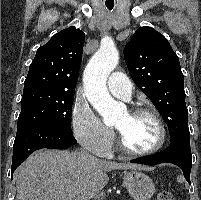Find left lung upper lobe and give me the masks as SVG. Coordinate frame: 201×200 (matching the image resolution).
<instances>
[{
    "label": "left lung upper lobe",
    "instance_id": "5c2ea615",
    "mask_svg": "<svg viewBox=\"0 0 201 200\" xmlns=\"http://www.w3.org/2000/svg\"><path fill=\"white\" fill-rule=\"evenodd\" d=\"M129 74L164 118L170 140L190 135L184 77L168 40L152 27L136 30L124 48Z\"/></svg>",
    "mask_w": 201,
    "mask_h": 200
}]
</instances>
